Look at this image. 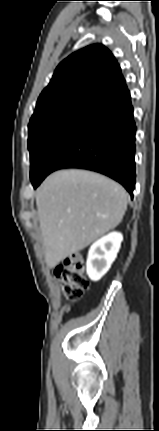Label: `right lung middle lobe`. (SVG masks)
I'll return each instance as SVG.
<instances>
[{
    "label": "right lung middle lobe",
    "mask_w": 159,
    "mask_h": 431,
    "mask_svg": "<svg viewBox=\"0 0 159 431\" xmlns=\"http://www.w3.org/2000/svg\"><path fill=\"white\" fill-rule=\"evenodd\" d=\"M86 119L82 116L60 113L29 123L28 149L31 160V180L40 174L43 163L57 142Z\"/></svg>",
    "instance_id": "obj_1"
}]
</instances>
